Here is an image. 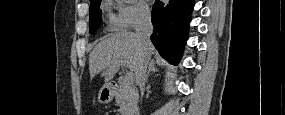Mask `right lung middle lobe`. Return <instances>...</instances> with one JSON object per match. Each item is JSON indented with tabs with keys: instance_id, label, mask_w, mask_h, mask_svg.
<instances>
[{
	"instance_id": "right-lung-middle-lobe-1",
	"label": "right lung middle lobe",
	"mask_w": 285,
	"mask_h": 115,
	"mask_svg": "<svg viewBox=\"0 0 285 115\" xmlns=\"http://www.w3.org/2000/svg\"><path fill=\"white\" fill-rule=\"evenodd\" d=\"M101 0H94L90 3V18H89V30L93 34L101 24L102 14L99 10Z\"/></svg>"
}]
</instances>
